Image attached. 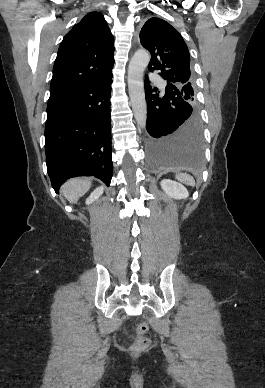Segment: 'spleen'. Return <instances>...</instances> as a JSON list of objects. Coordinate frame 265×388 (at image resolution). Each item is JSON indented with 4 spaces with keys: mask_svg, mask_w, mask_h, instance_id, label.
<instances>
[{
    "mask_svg": "<svg viewBox=\"0 0 265 388\" xmlns=\"http://www.w3.org/2000/svg\"><path fill=\"white\" fill-rule=\"evenodd\" d=\"M176 180L182 182V184H187V186H194L195 184L192 176H189V174H176Z\"/></svg>",
    "mask_w": 265,
    "mask_h": 388,
    "instance_id": "3e777b00",
    "label": "spleen"
}]
</instances>
